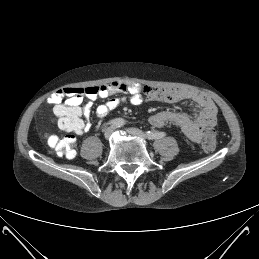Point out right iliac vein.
Returning a JSON list of instances; mask_svg holds the SVG:
<instances>
[{
	"label": "right iliac vein",
	"mask_w": 259,
	"mask_h": 259,
	"mask_svg": "<svg viewBox=\"0 0 259 259\" xmlns=\"http://www.w3.org/2000/svg\"><path fill=\"white\" fill-rule=\"evenodd\" d=\"M113 130H114V127H113V126L106 128L105 131H104V137H105L106 139H109L110 136H111L112 133H113Z\"/></svg>",
	"instance_id": "63e3f726"
}]
</instances>
